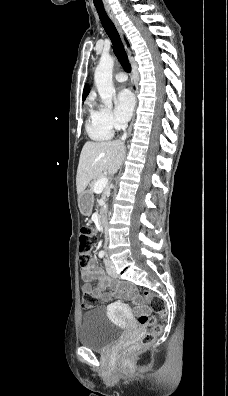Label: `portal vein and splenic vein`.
Masks as SVG:
<instances>
[{
    "instance_id": "1",
    "label": "portal vein and splenic vein",
    "mask_w": 228,
    "mask_h": 396,
    "mask_svg": "<svg viewBox=\"0 0 228 396\" xmlns=\"http://www.w3.org/2000/svg\"><path fill=\"white\" fill-rule=\"evenodd\" d=\"M107 184H108V178L102 177L94 185V192L96 193L101 192Z\"/></svg>"
}]
</instances>
